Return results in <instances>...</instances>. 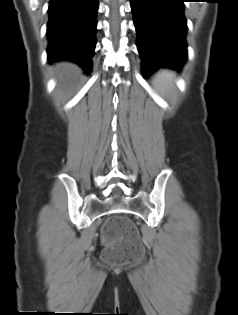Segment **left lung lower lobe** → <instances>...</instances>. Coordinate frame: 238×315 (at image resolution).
Returning a JSON list of instances; mask_svg holds the SVG:
<instances>
[{"mask_svg":"<svg viewBox=\"0 0 238 315\" xmlns=\"http://www.w3.org/2000/svg\"><path fill=\"white\" fill-rule=\"evenodd\" d=\"M185 0H131L142 73L180 70L187 59Z\"/></svg>","mask_w":238,"mask_h":315,"instance_id":"obj_1","label":"left lung lower lobe"}]
</instances>
